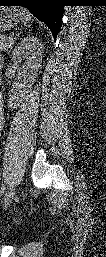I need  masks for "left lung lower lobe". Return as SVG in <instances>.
I'll list each match as a JSON object with an SVG mask.
<instances>
[{"label": "left lung lower lobe", "mask_w": 106, "mask_h": 257, "mask_svg": "<svg viewBox=\"0 0 106 257\" xmlns=\"http://www.w3.org/2000/svg\"><path fill=\"white\" fill-rule=\"evenodd\" d=\"M4 6H24L44 22L56 39L61 27L63 4L60 0H0Z\"/></svg>", "instance_id": "left-lung-lower-lobe-1"}]
</instances>
